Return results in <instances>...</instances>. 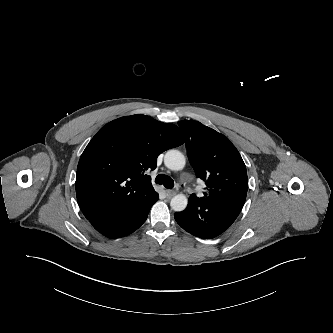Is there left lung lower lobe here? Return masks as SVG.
Listing matches in <instances>:
<instances>
[{"mask_svg":"<svg viewBox=\"0 0 333 333\" xmlns=\"http://www.w3.org/2000/svg\"><path fill=\"white\" fill-rule=\"evenodd\" d=\"M247 191L237 188L220 190L198 198L191 195L188 206L176 212V222L194 236L211 239L223 233L239 215Z\"/></svg>","mask_w":333,"mask_h":333,"instance_id":"left-lung-lower-lobe-1","label":"left lung lower lobe"}]
</instances>
